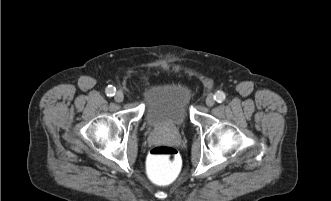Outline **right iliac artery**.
I'll return each mask as SVG.
<instances>
[{
  "mask_svg": "<svg viewBox=\"0 0 331 201\" xmlns=\"http://www.w3.org/2000/svg\"><path fill=\"white\" fill-rule=\"evenodd\" d=\"M105 92H106L107 96H110V97H111V96H114V95H115V92H116V88L113 87V86H111V85H109V86L106 88Z\"/></svg>",
  "mask_w": 331,
  "mask_h": 201,
  "instance_id": "1",
  "label": "right iliac artery"
}]
</instances>
